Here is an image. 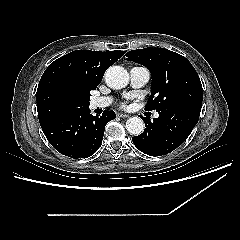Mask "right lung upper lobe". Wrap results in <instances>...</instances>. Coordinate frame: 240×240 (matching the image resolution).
I'll return each mask as SVG.
<instances>
[{"label": "right lung upper lobe", "mask_w": 240, "mask_h": 240, "mask_svg": "<svg viewBox=\"0 0 240 240\" xmlns=\"http://www.w3.org/2000/svg\"><path fill=\"white\" fill-rule=\"evenodd\" d=\"M124 53L75 50L52 62L37 88L40 125L65 111L83 108L85 94L96 89L106 69Z\"/></svg>", "instance_id": "1"}]
</instances>
